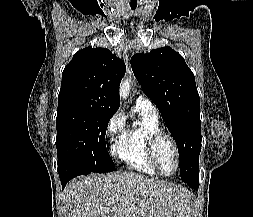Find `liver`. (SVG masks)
<instances>
[{"mask_svg": "<svg viewBox=\"0 0 253 217\" xmlns=\"http://www.w3.org/2000/svg\"><path fill=\"white\" fill-rule=\"evenodd\" d=\"M65 193L67 217H189L185 189L134 173L79 177Z\"/></svg>", "mask_w": 253, "mask_h": 217, "instance_id": "1", "label": "liver"}]
</instances>
